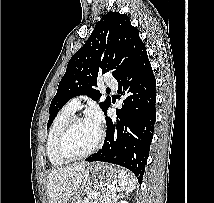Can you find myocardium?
<instances>
[{"label":"myocardium","instance_id":"obj_1","mask_svg":"<svg viewBox=\"0 0 214 203\" xmlns=\"http://www.w3.org/2000/svg\"><path fill=\"white\" fill-rule=\"evenodd\" d=\"M83 120H85L84 117L73 116L65 124V126L62 128V130L60 131V133L58 135L57 143H56L57 153L62 159H64L67 162L81 160V159H84V158L91 156L93 153H95L99 149V147L101 146V144L104 140V131L101 128H99V135H98L97 141L95 142V144L93 145V147L91 149H89L87 152H85L83 154H79V155L68 154L66 149H65L66 139H67L70 131L72 130V128L78 122L83 121Z\"/></svg>","mask_w":214,"mask_h":203}]
</instances>
